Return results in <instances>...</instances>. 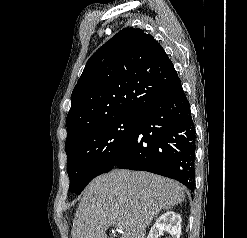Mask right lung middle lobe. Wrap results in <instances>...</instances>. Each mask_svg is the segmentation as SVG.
<instances>
[{"mask_svg": "<svg viewBox=\"0 0 247 238\" xmlns=\"http://www.w3.org/2000/svg\"><path fill=\"white\" fill-rule=\"evenodd\" d=\"M138 119L139 114L117 117L65 145L71 192L80 194L93 178L113 168Z\"/></svg>", "mask_w": 247, "mask_h": 238, "instance_id": "obj_1", "label": "right lung middle lobe"}]
</instances>
